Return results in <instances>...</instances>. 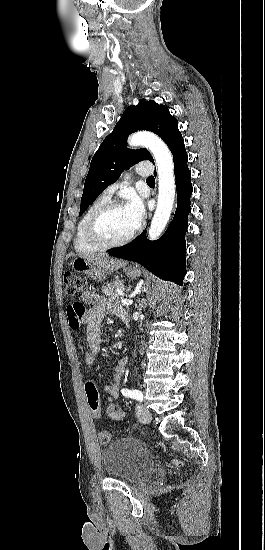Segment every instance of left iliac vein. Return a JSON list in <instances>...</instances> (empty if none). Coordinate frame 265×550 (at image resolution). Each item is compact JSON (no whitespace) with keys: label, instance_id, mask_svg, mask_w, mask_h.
<instances>
[{"label":"left iliac vein","instance_id":"4c4485c4","mask_svg":"<svg viewBox=\"0 0 265 550\" xmlns=\"http://www.w3.org/2000/svg\"><path fill=\"white\" fill-rule=\"evenodd\" d=\"M136 414L142 423H149L152 419L150 410L141 404L136 406Z\"/></svg>","mask_w":265,"mask_h":550}]
</instances>
